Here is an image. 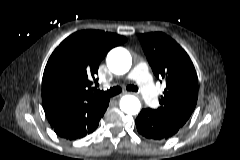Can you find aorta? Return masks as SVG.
<instances>
[{
  "label": "aorta",
  "instance_id": "762f6f07",
  "mask_svg": "<svg viewBox=\"0 0 240 160\" xmlns=\"http://www.w3.org/2000/svg\"><path fill=\"white\" fill-rule=\"evenodd\" d=\"M106 62L112 73L123 75L130 70L132 58L126 49L117 47L108 53ZM140 107L141 104L139 99L133 95H125L120 99V108L128 115L138 114Z\"/></svg>",
  "mask_w": 240,
  "mask_h": 160
}]
</instances>
